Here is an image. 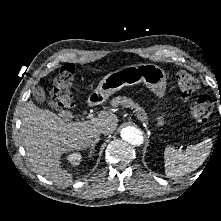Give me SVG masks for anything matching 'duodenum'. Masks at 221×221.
Instances as JSON below:
<instances>
[{"label":"duodenum","mask_w":221,"mask_h":221,"mask_svg":"<svg viewBox=\"0 0 221 221\" xmlns=\"http://www.w3.org/2000/svg\"><path fill=\"white\" fill-rule=\"evenodd\" d=\"M94 102H95V99L92 98V99L89 100L88 103H89V104H93Z\"/></svg>","instance_id":"410a0bca"}]
</instances>
